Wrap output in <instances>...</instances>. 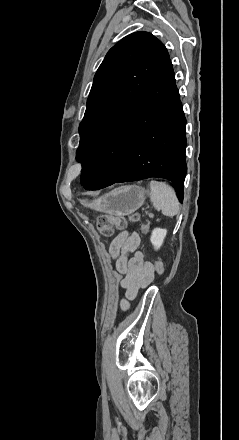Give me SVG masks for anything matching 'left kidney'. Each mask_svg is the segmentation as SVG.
Segmentation results:
<instances>
[{
	"instance_id": "left-kidney-1",
	"label": "left kidney",
	"mask_w": 239,
	"mask_h": 440,
	"mask_svg": "<svg viewBox=\"0 0 239 440\" xmlns=\"http://www.w3.org/2000/svg\"><path fill=\"white\" fill-rule=\"evenodd\" d=\"M167 230H161V228H155L152 232L150 242L154 246V250H159L161 248L164 238H166Z\"/></svg>"
}]
</instances>
